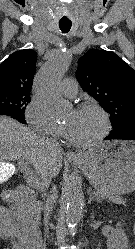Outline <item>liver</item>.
<instances>
[{"instance_id":"liver-1","label":"liver","mask_w":135,"mask_h":249,"mask_svg":"<svg viewBox=\"0 0 135 249\" xmlns=\"http://www.w3.org/2000/svg\"><path fill=\"white\" fill-rule=\"evenodd\" d=\"M18 159L32 164L41 178H52L62 167V149L54 147L49 139L40 137L16 120L0 116V164ZM5 178H0V182Z\"/></svg>"}]
</instances>
